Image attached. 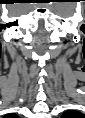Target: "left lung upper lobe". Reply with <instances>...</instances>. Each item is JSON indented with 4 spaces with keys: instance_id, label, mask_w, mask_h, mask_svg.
I'll list each match as a JSON object with an SVG mask.
<instances>
[{
    "instance_id": "obj_1",
    "label": "left lung upper lobe",
    "mask_w": 85,
    "mask_h": 118,
    "mask_svg": "<svg viewBox=\"0 0 85 118\" xmlns=\"http://www.w3.org/2000/svg\"><path fill=\"white\" fill-rule=\"evenodd\" d=\"M73 112H65L64 115H71Z\"/></svg>"
}]
</instances>
